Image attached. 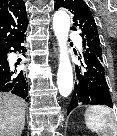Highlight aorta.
Segmentation results:
<instances>
[{
	"mask_svg": "<svg viewBox=\"0 0 117 136\" xmlns=\"http://www.w3.org/2000/svg\"><path fill=\"white\" fill-rule=\"evenodd\" d=\"M53 30L60 48L57 85L60 95L68 97L73 88V71L67 51L70 17L65 11L59 10L55 12L53 16Z\"/></svg>",
	"mask_w": 117,
	"mask_h": 136,
	"instance_id": "762f6f07",
	"label": "aorta"
}]
</instances>
